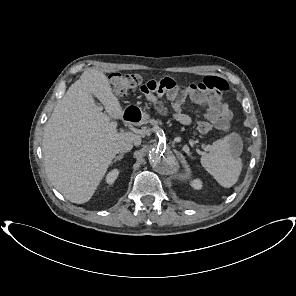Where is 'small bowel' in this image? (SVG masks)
<instances>
[{
	"label": "small bowel",
	"mask_w": 296,
	"mask_h": 296,
	"mask_svg": "<svg viewBox=\"0 0 296 296\" xmlns=\"http://www.w3.org/2000/svg\"><path fill=\"white\" fill-rule=\"evenodd\" d=\"M228 89L227 82L216 76H208L199 83L189 85L178 84L172 78H163L160 80H149L142 87L141 91L146 99L155 105L160 112H165V107L159 100V96L166 94L174 110L175 119L184 125L191 123V118L182 111V105L190 99L197 105H201L209 99L218 102L222 105L224 111V120L218 122L219 128L226 127L230 112L223 102L222 93Z\"/></svg>",
	"instance_id": "c3829d8e"
}]
</instances>
